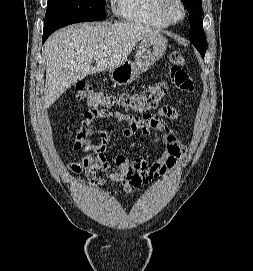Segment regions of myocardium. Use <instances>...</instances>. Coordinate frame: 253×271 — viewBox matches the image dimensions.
<instances>
[{
    "label": "myocardium",
    "mask_w": 253,
    "mask_h": 271,
    "mask_svg": "<svg viewBox=\"0 0 253 271\" xmlns=\"http://www.w3.org/2000/svg\"><path fill=\"white\" fill-rule=\"evenodd\" d=\"M171 3H177L180 6L182 14L179 18H174L171 15L169 11V5ZM158 10L162 17L165 19V21L170 25H176L181 23L185 19L187 14V9L183 0H159Z\"/></svg>",
    "instance_id": "f54148a6"
}]
</instances>
